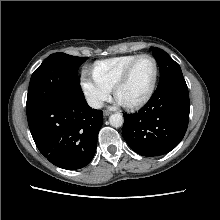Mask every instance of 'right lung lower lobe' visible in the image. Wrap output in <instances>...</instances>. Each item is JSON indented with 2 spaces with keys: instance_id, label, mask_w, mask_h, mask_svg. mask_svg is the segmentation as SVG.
<instances>
[{
  "instance_id": "98d812e1",
  "label": "right lung lower lobe",
  "mask_w": 220,
  "mask_h": 220,
  "mask_svg": "<svg viewBox=\"0 0 220 220\" xmlns=\"http://www.w3.org/2000/svg\"><path fill=\"white\" fill-rule=\"evenodd\" d=\"M27 119L37 148L52 164L74 170L93 159L103 113L84 98L27 107Z\"/></svg>"
}]
</instances>
